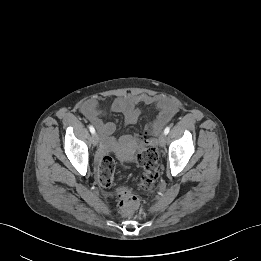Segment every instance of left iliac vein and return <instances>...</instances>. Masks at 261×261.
Here are the masks:
<instances>
[{
  "instance_id": "left-iliac-vein-1",
  "label": "left iliac vein",
  "mask_w": 261,
  "mask_h": 261,
  "mask_svg": "<svg viewBox=\"0 0 261 261\" xmlns=\"http://www.w3.org/2000/svg\"><path fill=\"white\" fill-rule=\"evenodd\" d=\"M158 143L160 146H164L165 143H166V135L164 133H161L159 136H158Z\"/></svg>"
}]
</instances>
